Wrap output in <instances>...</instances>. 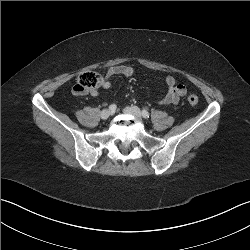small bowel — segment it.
I'll return each instance as SVG.
<instances>
[{
	"mask_svg": "<svg viewBox=\"0 0 250 250\" xmlns=\"http://www.w3.org/2000/svg\"><path fill=\"white\" fill-rule=\"evenodd\" d=\"M134 74V69L127 65H115L111 66L106 74L102 83L104 89H110L113 86L112 78L115 76L131 77ZM161 82L166 86L167 91L160 99L159 103L161 105L177 104L179 100L184 97L187 93V89L184 85L178 84L174 77L167 76L161 80ZM98 91L93 90L90 95L93 97L98 96Z\"/></svg>",
	"mask_w": 250,
	"mask_h": 250,
	"instance_id": "obj_1",
	"label": "small bowel"
}]
</instances>
